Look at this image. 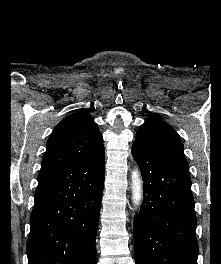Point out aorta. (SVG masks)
<instances>
[{
  "label": "aorta",
  "mask_w": 221,
  "mask_h": 264,
  "mask_svg": "<svg viewBox=\"0 0 221 264\" xmlns=\"http://www.w3.org/2000/svg\"><path fill=\"white\" fill-rule=\"evenodd\" d=\"M132 201L136 208H139L143 200V184L138 168H135L131 175Z\"/></svg>",
  "instance_id": "762f6f07"
}]
</instances>
